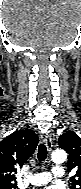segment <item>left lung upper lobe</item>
Wrapping results in <instances>:
<instances>
[{
  "label": "left lung upper lobe",
  "instance_id": "obj_1",
  "mask_svg": "<svg viewBox=\"0 0 81 189\" xmlns=\"http://www.w3.org/2000/svg\"><path fill=\"white\" fill-rule=\"evenodd\" d=\"M58 144L69 154V171L76 170V174L71 177V189H81V138L75 132L69 131L59 137Z\"/></svg>",
  "mask_w": 81,
  "mask_h": 189
}]
</instances>
